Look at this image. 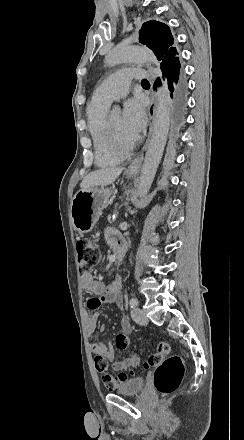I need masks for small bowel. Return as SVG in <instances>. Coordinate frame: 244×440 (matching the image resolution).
I'll list each match as a JSON object with an SVG mask.
<instances>
[{"label": "small bowel", "instance_id": "1", "mask_svg": "<svg viewBox=\"0 0 244 440\" xmlns=\"http://www.w3.org/2000/svg\"><path fill=\"white\" fill-rule=\"evenodd\" d=\"M106 240L110 246L115 248L119 242L122 241V238L116 230L109 228L106 231ZM81 285L83 289L92 295L87 302L88 308L92 310L99 309L104 303L114 302L119 306L123 303L122 280L120 276H117L107 285L96 280L91 272H83L81 274ZM98 319L99 314L97 312L87 317V331L89 334H93L97 329ZM121 323H123L124 328L119 331V333H126L128 336L130 333L129 321L126 318H123ZM98 329L100 332H104L105 326L100 325ZM89 347L93 353H105L106 359L112 362L113 369L116 371H122L129 367H134L138 363L135 360L136 354L133 352L123 359H117L116 348H113L112 344L90 342ZM118 349L123 350L126 348Z\"/></svg>", "mask_w": 244, "mask_h": 440}]
</instances>
